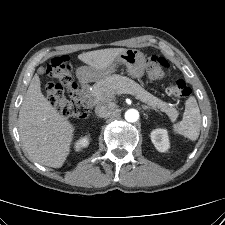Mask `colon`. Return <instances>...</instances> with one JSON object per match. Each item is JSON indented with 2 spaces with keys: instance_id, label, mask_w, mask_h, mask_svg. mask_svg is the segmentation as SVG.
I'll list each match as a JSON object with an SVG mask.
<instances>
[{
  "instance_id": "obj_1",
  "label": "colon",
  "mask_w": 225,
  "mask_h": 225,
  "mask_svg": "<svg viewBox=\"0 0 225 225\" xmlns=\"http://www.w3.org/2000/svg\"><path fill=\"white\" fill-rule=\"evenodd\" d=\"M168 68V61L161 56L151 55L146 60V70L152 78L163 77ZM47 73L57 80L50 82L46 87V97L50 104L66 117L86 118L89 106L71 76L68 58L66 56L52 58L47 65ZM167 93L187 98L191 94V89L184 80L176 79L167 87Z\"/></svg>"
}]
</instances>
